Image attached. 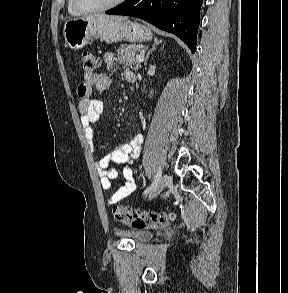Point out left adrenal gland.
<instances>
[{"instance_id":"1","label":"left adrenal gland","mask_w":288,"mask_h":293,"mask_svg":"<svg viewBox=\"0 0 288 293\" xmlns=\"http://www.w3.org/2000/svg\"><path fill=\"white\" fill-rule=\"evenodd\" d=\"M161 43L160 40L155 39L154 40V45L153 47L147 52L146 57H145V65L147 64V60L149 58L150 53H152V51L156 50V47Z\"/></svg>"}]
</instances>
